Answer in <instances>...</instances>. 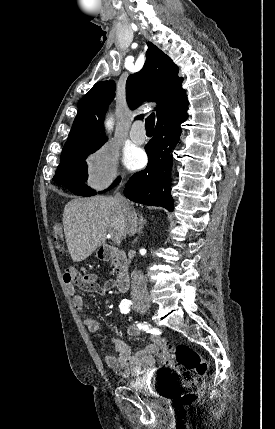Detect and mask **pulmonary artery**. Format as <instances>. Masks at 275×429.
Returning <instances> with one entry per match:
<instances>
[{
  "instance_id": "e3ab8cb5",
  "label": "pulmonary artery",
  "mask_w": 275,
  "mask_h": 429,
  "mask_svg": "<svg viewBox=\"0 0 275 429\" xmlns=\"http://www.w3.org/2000/svg\"><path fill=\"white\" fill-rule=\"evenodd\" d=\"M130 138L136 144H141L146 140V133L143 129V124L140 121L133 123L130 130Z\"/></svg>"
}]
</instances>
